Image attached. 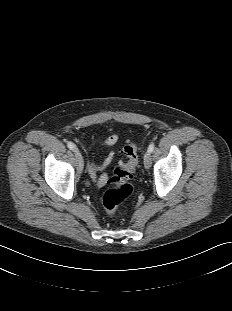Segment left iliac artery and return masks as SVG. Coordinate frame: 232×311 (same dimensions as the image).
<instances>
[{"instance_id": "1", "label": "left iliac artery", "mask_w": 232, "mask_h": 311, "mask_svg": "<svg viewBox=\"0 0 232 311\" xmlns=\"http://www.w3.org/2000/svg\"><path fill=\"white\" fill-rule=\"evenodd\" d=\"M155 148V144L152 142L148 147V152L152 153Z\"/></svg>"}]
</instances>
